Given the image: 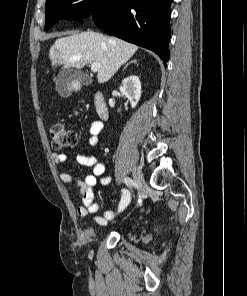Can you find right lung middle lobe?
<instances>
[{
  "instance_id": "1",
  "label": "right lung middle lobe",
  "mask_w": 247,
  "mask_h": 296,
  "mask_svg": "<svg viewBox=\"0 0 247 296\" xmlns=\"http://www.w3.org/2000/svg\"><path fill=\"white\" fill-rule=\"evenodd\" d=\"M111 0H47L45 5V29L57 21L78 20L94 13L104 12Z\"/></svg>"
}]
</instances>
